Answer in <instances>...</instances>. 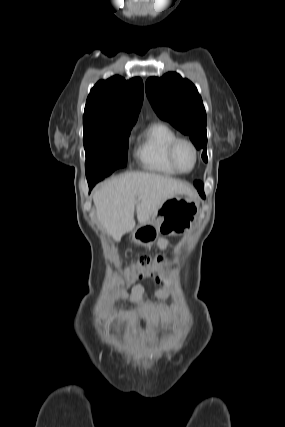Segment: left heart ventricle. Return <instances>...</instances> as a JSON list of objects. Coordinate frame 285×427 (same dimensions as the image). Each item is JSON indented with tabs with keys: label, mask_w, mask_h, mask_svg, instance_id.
Segmentation results:
<instances>
[{
	"label": "left heart ventricle",
	"mask_w": 285,
	"mask_h": 427,
	"mask_svg": "<svg viewBox=\"0 0 285 427\" xmlns=\"http://www.w3.org/2000/svg\"><path fill=\"white\" fill-rule=\"evenodd\" d=\"M178 167L183 171H189L194 165V153L187 143H180L175 152Z\"/></svg>",
	"instance_id": "b2bd125f"
}]
</instances>
